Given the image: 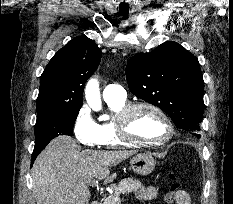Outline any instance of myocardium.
<instances>
[{
    "instance_id": "1",
    "label": "myocardium",
    "mask_w": 233,
    "mask_h": 204,
    "mask_svg": "<svg viewBox=\"0 0 233 204\" xmlns=\"http://www.w3.org/2000/svg\"><path fill=\"white\" fill-rule=\"evenodd\" d=\"M140 109H149L156 113L166 124L168 133L160 140H143L134 137L130 132V124L133 115L136 111ZM117 132L119 138L129 144L137 146H160L168 143L174 136L175 128L172 120L167 115V113L161 109L159 106L150 102H134L126 105L117 116Z\"/></svg>"
}]
</instances>
